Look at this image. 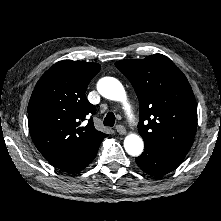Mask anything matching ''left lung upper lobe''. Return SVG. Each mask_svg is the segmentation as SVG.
Returning a JSON list of instances; mask_svg holds the SVG:
<instances>
[{"label": "left lung upper lobe", "mask_w": 221, "mask_h": 221, "mask_svg": "<svg viewBox=\"0 0 221 221\" xmlns=\"http://www.w3.org/2000/svg\"><path fill=\"white\" fill-rule=\"evenodd\" d=\"M116 67L139 99L138 132L144 143L187 154L197 126L196 101L188 80L166 56L121 60Z\"/></svg>", "instance_id": "left-lung-upper-lobe-1"}]
</instances>
